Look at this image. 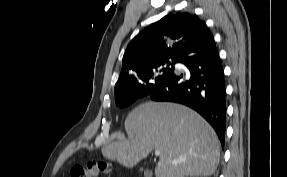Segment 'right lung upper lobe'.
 <instances>
[{"mask_svg": "<svg viewBox=\"0 0 287 177\" xmlns=\"http://www.w3.org/2000/svg\"><path fill=\"white\" fill-rule=\"evenodd\" d=\"M196 15L177 13L149 25L129 43L115 87L133 86L157 62L178 60L184 48L207 30Z\"/></svg>", "mask_w": 287, "mask_h": 177, "instance_id": "cb5924a9", "label": "right lung upper lobe"}]
</instances>
